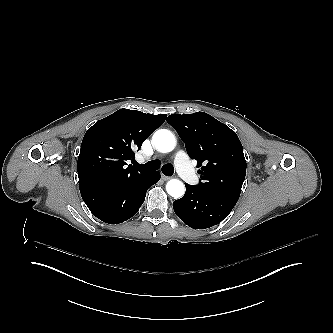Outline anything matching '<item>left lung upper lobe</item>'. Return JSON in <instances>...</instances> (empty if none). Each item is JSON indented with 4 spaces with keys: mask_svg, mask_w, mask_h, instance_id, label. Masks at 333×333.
Returning <instances> with one entry per match:
<instances>
[{
    "mask_svg": "<svg viewBox=\"0 0 333 333\" xmlns=\"http://www.w3.org/2000/svg\"><path fill=\"white\" fill-rule=\"evenodd\" d=\"M167 122L178 132L201 174L199 186L205 192L239 198L246 175L242 144L225 124L204 112L170 115Z\"/></svg>",
    "mask_w": 333,
    "mask_h": 333,
    "instance_id": "obj_1",
    "label": "left lung upper lobe"
}]
</instances>
